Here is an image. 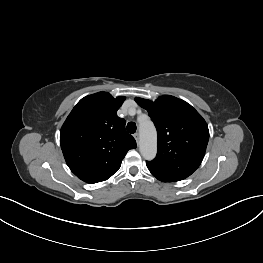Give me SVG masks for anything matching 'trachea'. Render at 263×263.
I'll list each match as a JSON object with an SVG mask.
<instances>
[{
    "instance_id": "1",
    "label": "trachea",
    "mask_w": 263,
    "mask_h": 263,
    "mask_svg": "<svg viewBox=\"0 0 263 263\" xmlns=\"http://www.w3.org/2000/svg\"><path fill=\"white\" fill-rule=\"evenodd\" d=\"M136 129H137V127H136V124H135L134 122H129V123L127 124V131H128L129 133H131V134L135 133V132H136Z\"/></svg>"
}]
</instances>
